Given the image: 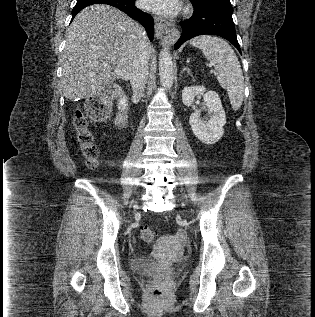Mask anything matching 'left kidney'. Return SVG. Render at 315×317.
Returning a JSON list of instances; mask_svg holds the SVG:
<instances>
[{
	"instance_id": "left-kidney-1",
	"label": "left kidney",
	"mask_w": 315,
	"mask_h": 317,
	"mask_svg": "<svg viewBox=\"0 0 315 317\" xmlns=\"http://www.w3.org/2000/svg\"><path fill=\"white\" fill-rule=\"evenodd\" d=\"M202 95L204 104L212 112L210 120L204 121L200 117V111L191 114L189 123L194 135L203 143L214 144L224 134L223 126L226 123L225 111L221 100L215 91H206L204 86L185 87L182 91L184 105L192 106L195 97Z\"/></svg>"
}]
</instances>
